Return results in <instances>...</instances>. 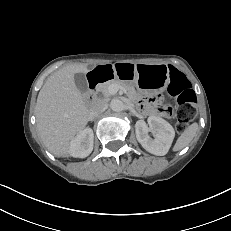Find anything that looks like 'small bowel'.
Returning a JSON list of instances; mask_svg holds the SVG:
<instances>
[{
	"label": "small bowel",
	"instance_id": "obj_1",
	"mask_svg": "<svg viewBox=\"0 0 231 231\" xmlns=\"http://www.w3.org/2000/svg\"><path fill=\"white\" fill-rule=\"evenodd\" d=\"M150 110H151V111H154V109H153V108H150Z\"/></svg>",
	"mask_w": 231,
	"mask_h": 231
}]
</instances>
